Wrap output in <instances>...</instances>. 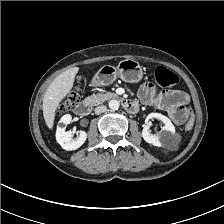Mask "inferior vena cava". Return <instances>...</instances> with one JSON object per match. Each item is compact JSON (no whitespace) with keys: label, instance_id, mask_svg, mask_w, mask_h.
Wrapping results in <instances>:
<instances>
[{"label":"inferior vena cava","instance_id":"obj_1","mask_svg":"<svg viewBox=\"0 0 224 224\" xmlns=\"http://www.w3.org/2000/svg\"><path fill=\"white\" fill-rule=\"evenodd\" d=\"M106 111H107V107L104 106V105H100V106L95 108V114L96 115H99V114L104 113Z\"/></svg>","mask_w":224,"mask_h":224}]
</instances>
